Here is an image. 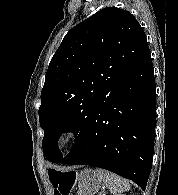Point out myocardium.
Listing matches in <instances>:
<instances>
[{
  "label": "myocardium",
  "instance_id": "myocardium-1",
  "mask_svg": "<svg viewBox=\"0 0 178 195\" xmlns=\"http://www.w3.org/2000/svg\"><path fill=\"white\" fill-rule=\"evenodd\" d=\"M77 133L72 129H65L61 131L55 139V147L59 151H65L69 148L76 140Z\"/></svg>",
  "mask_w": 178,
  "mask_h": 195
}]
</instances>
